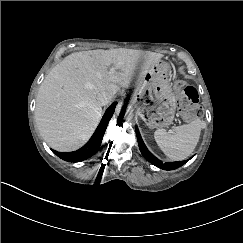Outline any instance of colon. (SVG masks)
Masks as SVG:
<instances>
[{"label":"colon","mask_w":243,"mask_h":243,"mask_svg":"<svg viewBox=\"0 0 243 243\" xmlns=\"http://www.w3.org/2000/svg\"><path fill=\"white\" fill-rule=\"evenodd\" d=\"M174 91L182 118L186 121L199 118L201 110L197 104L198 95L196 90L183 82H177Z\"/></svg>","instance_id":"1"}]
</instances>
